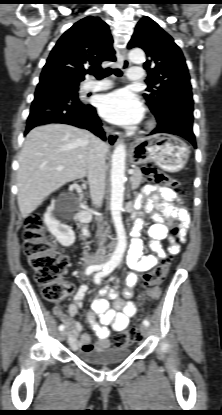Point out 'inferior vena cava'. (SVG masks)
Returning <instances> with one entry per match:
<instances>
[{"label": "inferior vena cava", "mask_w": 222, "mask_h": 415, "mask_svg": "<svg viewBox=\"0 0 222 415\" xmlns=\"http://www.w3.org/2000/svg\"><path fill=\"white\" fill-rule=\"evenodd\" d=\"M108 151V146L102 140L95 138L90 147L88 157V183L90 187V195L95 206H101L105 193V156ZM98 237L103 239V226L98 223ZM97 258H102L103 248H99L95 255Z\"/></svg>", "instance_id": "602c4592"}]
</instances>
